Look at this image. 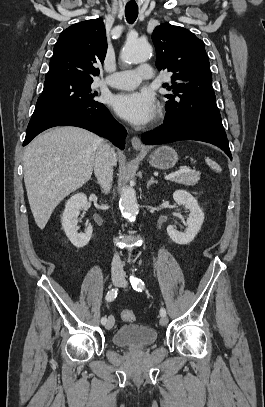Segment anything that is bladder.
<instances>
[{"instance_id": "obj_1", "label": "bladder", "mask_w": 265, "mask_h": 407, "mask_svg": "<svg viewBox=\"0 0 265 407\" xmlns=\"http://www.w3.org/2000/svg\"><path fill=\"white\" fill-rule=\"evenodd\" d=\"M155 329L144 325L126 324L113 335V343L131 349L146 348L157 340Z\"/></svg>"}]
</instances>
